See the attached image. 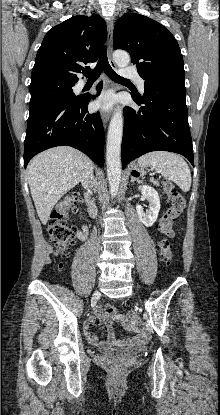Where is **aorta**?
Masks as SVG:
<instances>
[{"label":"aorta","mask_w":220,"mask_h":415,"mask_svg":"<svg viewBox=\"0 0 220 415\" xmlns=\"http://www.w3.org/2000/svg\"><path fill=\"white\" fill-rule=\"evenodd\" d=\"M113 60L118 67H126L130 63V56L126 51L117 50L113 53ZM123 134V116L121 109L113 114L107 135L106 164L110 192L115 196L121 180V142Z\"/></svg>","instance_id":"aorta-1"}]
</instances>
